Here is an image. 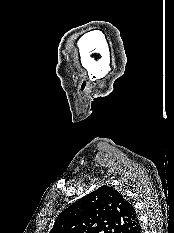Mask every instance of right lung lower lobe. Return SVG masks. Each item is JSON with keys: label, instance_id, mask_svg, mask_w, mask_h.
I'll list each match as a JSON object with an SVG mask.
<instances>
[{"label": "right lung lower lobe", "instance_id": "98d812e1", "mask_svg": "<svg viewBox=\"0 0 174 233\" xmlns=\"http://www.w3.org/2000/svg\"><path fill=\"white\" fill-rule=\"evenodd\" d=\"M137 233H142V230H141V228L137 231Z\"/></svg>", "mask_w": 174, "mask_h": 233}]
</instances>
